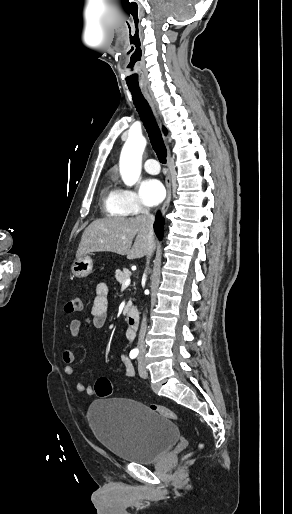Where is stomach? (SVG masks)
I'll return each instance as SVG.
<instances>
[{"mask_svg":"<svg viewBox=\"0 0 292 514\" xmlns=\"http://www.w3.org/2000/svg\"><path fill=\"white\" fill-rule=\"evenodd\" d=\"M71 270L73 276H76V278H86L93 270L92 258L87 256V254H85V256H79V258L74 260Z\"/></svg>","mask_w":292,"mask_h":514,"instance_id":"1","label":"stomach"}]
</instances>
